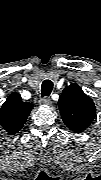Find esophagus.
<instances>
[{
	"label": "esophagus",
	"instance_id": "obj_1",
	"mask_svg": "<svg viewBox=\"0 0 101 180\" xmlns=\"http://www.w3.org/2000/svg\"><path fill=\"white\" fill-rule=\"evenodd\" d=\"M39 103L42 105H50L51 99H50V97H43L39 100Z\"/></svg>",
	"mask_w": 101,
	"mask_h": 180
}]
</instances>
